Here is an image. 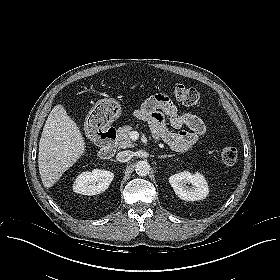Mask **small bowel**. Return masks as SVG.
Masks as SVG:
<instances>
[{
  "mask_svg": "<svg viewBox=\"0 0 280 280\" xmlns=\"http://www.w3.org/2000/svg\"><path fill=\"white\" fill-rule=\"evenodd\" d=\"M134 115L147 121L155 135L177 152L190 150L207 132L206 124L200 117L180 112L171 99L163 94L149 97L134 111ZM182 127L189 130H183Z\"/></svg>",
  "mask_w": 280,
  "mask_h": 280,
  "instance_id": "1",
  "label": "small bowel"
}]
</instances>
